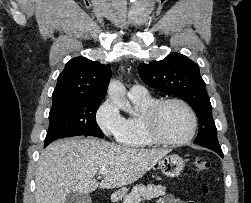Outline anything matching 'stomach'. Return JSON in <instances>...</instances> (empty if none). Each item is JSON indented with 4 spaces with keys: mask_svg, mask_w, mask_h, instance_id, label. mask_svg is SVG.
I'll use <instances>...</instances> for the list:
<instances>
[{
    "mask_svg": "<svg viewBox=\"0 0 251 203\" xmlns=\"http://www.w3.org/2000/svg\"><path fill=\"white\" fill-rule=\"evenodd\" d=\"M159 167L161 169V172L170 178L176 177L181 174V172L184 169V160L176 155V154H170L168 156H165L159 161ZM127 192L126 188H122L119 191V195L123 196Z\"/></svg>",
    "mask_w": 251,
    "mask_h": 203,
    "instance_id": "1",
    "label": "stomach"
}]
</instances>
